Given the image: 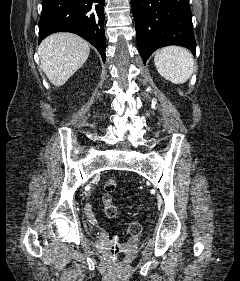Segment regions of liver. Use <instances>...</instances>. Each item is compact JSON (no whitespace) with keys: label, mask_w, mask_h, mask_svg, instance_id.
<instances>
[{"label":"liver","mask_w":240,"mask_h":281,"mask_svg":"<svg viewBox=\"0 0 240 281\" xmlns=\"http://www.w3.org/2000/svg\"><path fill=\"white\" fill-rule=\"evenodd\" d=\"M90 45L72 33H55L38 47L40 66L49 81L59 87L86 62Z\"/></svg>","instance_id":"1"}]
</instances>
